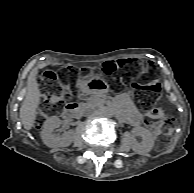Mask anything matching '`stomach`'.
<instances>
[{
    "label": "stomach",
    "mask_w": 194,
    "mask_h": 193,
    "mask_svg": "<svg viewBox=\"0 0 194 193\" xmlns=\"http://www.w3.org/2000/svg\"><path fill=\"white\" fill-rule=\"evenodd\" d=\"M77 86L81 91L89 94L101 95L109 90V85L106 81L93 75L79 79Z\"/></svg>",
    "instance_id": "obj_1"
}]
</instances>
